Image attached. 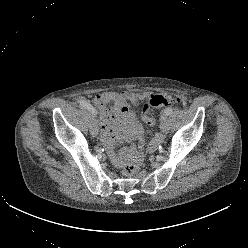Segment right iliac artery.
I'll return each instance as SVG.
<instances>
[{
	"instance_id": "right-iliac-artery-1",
	"label": "right iliac artery",
	"mask_w": 248,
	"mask_h": 248,
	"mask_svg": "<svg viewBox=\"0 0 248 248\" xmlns=\"http://www.w3.org/2000/svg\"><path fill=\"white\" fill-rule=\"evenodd\" d=\"M78 104L80 105V107H84V108L88 109L89 111H91L92 113H95V109L93 108V106L89 102H87L86 100L79 99Z\"/></svg>"
}]
</instances>
